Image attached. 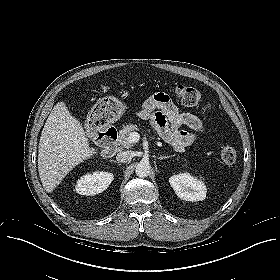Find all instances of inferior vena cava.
Listing matches in <instances>:
<instances>
[{
	"label": "inferior vena cava",
	"instance_id": "obj_1",
	"mask_svg": "<svg viewBox=\"0 0 280 280\" xmlns=\"http://www.w3.org/2000/svg\"><path fill=\"white\" fill-rule=\"evenodd\" d=\"M132 158H133L132 151H122L116 155V160L122 163L130 161Z\"/></svg>",
	"mask_w": 280,
	"mask_h": 280
}]
</instances>
